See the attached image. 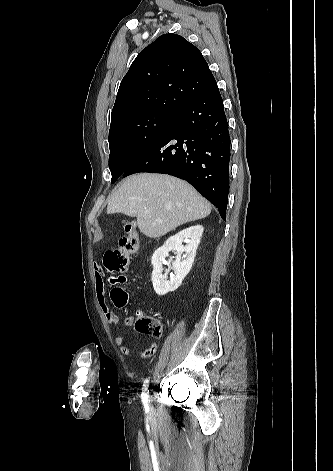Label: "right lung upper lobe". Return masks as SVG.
<instances>
[{"label":"right lung upper lobe","mask_w":333,"mask_h":471,"mask_svg":"<svg viewBox=\"0 0 333 471\" xmlns=\"http://www.w3.org/2000/svg\"><path fill=\"white\" fill-rule=\"evenodd\" d=\"M216 80L197 47L164 34L141 51L120 83L111 123L139 112L176 114Z\"/></svg>","instance_id":"obj_1"}]
</instances>
